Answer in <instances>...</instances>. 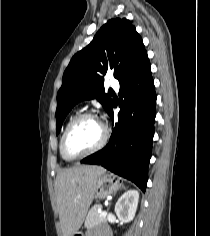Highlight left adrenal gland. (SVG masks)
I'll return each mask as SVG.
<instances>
[{
    "mask_svg": "<svg viewBox=\"0 0 210 236\" xmlns=\"http://www.w3.org/2000/svg\"><path fill=\"white\" fill-rule=\"evenodd\" d=\"M123 189H126L125 186H122Z\"/></svg>",
    "mask_w": 210,
    "mask_h": 236,
    "instance_id": "a2214340",
    "label": "left adrenal gland"
}]
</instances>
